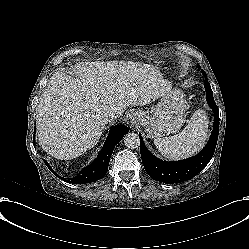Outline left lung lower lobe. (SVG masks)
I'll use <instances>...</instances> for the list:
<instances>
[{
	"label": "left lung lower lobe",
	"instance_id": "obj_1",
	"mask_svg": "<svg viewBox=\"0 0 249 249\" xmlns=\"http://www.w3.org/2000/svg\"><path fill=\"white\" fill-rule=\"evenodd\" d=\"M207 102L214 112V128L210 139L203 150L194 157L176 162H165L152 155L146 148L141 136L140 153L144 168L148 175L159 182L174 184L196 176L211 160L219 134V111L213 98L209 82L205 79Z\"/></svg>",
	"mask_w": 249,
	"mask_h": 249
}]
</instances>
